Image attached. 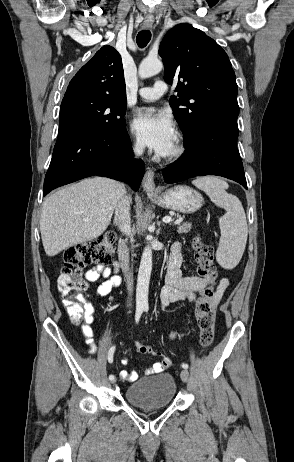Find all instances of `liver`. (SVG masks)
<instances>
[{"label":"liver","instance_id":"liver-1","mask_svg":"<svg viewBox=\"0 0 294 462\" xmlns=\"http://www.w3.org/2000/svg\"><path fill=\"white\" fill-rule=\"evenodd\" d=\"M125 187L121 182L94 177L46 198L40 231L48 256L99 237L109 226Z\"/></svg>","mask_w":294,"mask_h":462}]
</instances>
